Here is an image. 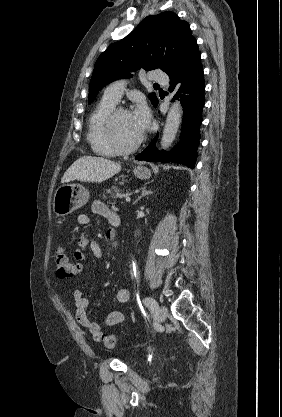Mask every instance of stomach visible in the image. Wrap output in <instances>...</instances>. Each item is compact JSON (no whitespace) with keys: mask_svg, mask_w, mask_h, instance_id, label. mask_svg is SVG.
I'll return each instance as SVG.
<instances>
[{"mask_svg":"<svg viewBox=\"0 0 282 417\" xmlns=\"http://www.w3.org/2000/svg\"><path fill=\"white\" fill-rule=\"evenodd\" d=\"M133 172L137 178H150L151 170L138 164L134 166ZM89 190L82 186V184H62L55 190L53 198V211L58 217H64V215H70L76 209H80V206L86 204L89 200Z\"/></svg>","mask_w":282,"mask_h":417,"instance_id":"1","label":"stomach"}]
</instances>
